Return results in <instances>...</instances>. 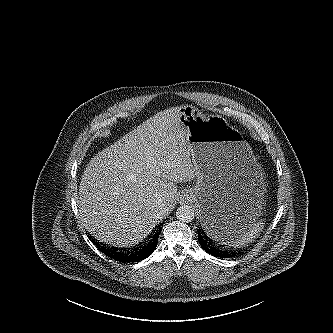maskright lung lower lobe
<instances>
[{"instance_id": "98d812e1", "label": "right lung lower lobe", "mask_w": 333, "mask_h": 333, "mask_svg": "<svg viewBox=\"0 0 333 333\" xmlns=\"http://www.w3.org/2000/svg\"><path fill=\"white\" fill-rule=\"evenodd\" d=\"M160 235V232H157L154 234L151 240H149V243L145 245L141 250L134 252V253H123L121 251L112 250L109 248H105L104 246H101L97 242H93L104 254H106L108 257L124 263H130V262H138L145 258H147L149 255L153 253L157 246L158 237Z\"/></svg>"}]
</instances>
